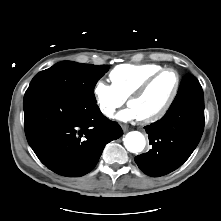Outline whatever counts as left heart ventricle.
Segmentation results:
<instances>
[{
    "mask_svg": "<svg viewBox=\"0 0 221 221\" xmlns=\"http://www.w3.org/2000/svg\"><path fill=\"white\" fill-rule=\"evenodd\" d=\"M175 83L174 73L165 72L142 96L132 99L128 105L137 112L139 119L149 117L164 107L173 92Z\"/></svg>",
    "mask_w": 221,
    "mask_h": 221,
    "instance_id": "left-heart-ventricle-1",
    "label": "left heart ventricle"
}]
</instances>
